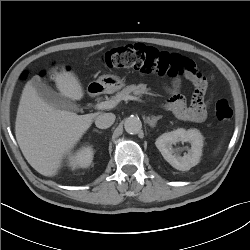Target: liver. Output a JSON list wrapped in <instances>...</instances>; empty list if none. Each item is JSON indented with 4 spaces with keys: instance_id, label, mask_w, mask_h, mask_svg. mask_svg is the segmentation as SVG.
<instances>
[{
    "instance_id": "obj_1",
    "label": "liver",
    "mask_w": 250,
    "mask_h": 250,
    "mask_svg": "<svg viewBox=\"0 0 250 250\" xmlns=\"http://www.w3.org/2000/svg\"><path fill=\"white\" fill-rule=\"evenodd\" d=\"M55 73L60 94L71 100L84 96L78 78L62 70ZM100 113L77 115L45 102L30 81L23 89L15 122L18 145L27 162L40 174L53 177L63 158L77 144Z\"/></svg>"
}]
</instances>
